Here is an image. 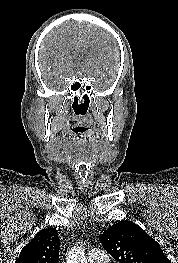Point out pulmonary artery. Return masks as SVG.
<instances>
[{
  "instance_id": "e3ab8cb5",
  "label": "pulmonary artery",
  "mask_w": 178,
  "mask_h": 263,
  "mask_svg": "<svg viewBox=\"0 0 178 263\" xmlns=\"http://www.w3.org/2000/svg\"><path fill=\"white\" fill-rule=\"evenodd\" d=\"M88 262L89 263H109L108 256L97 249L91 250L88 253Z\"/></svg>"
}]
</instances>
